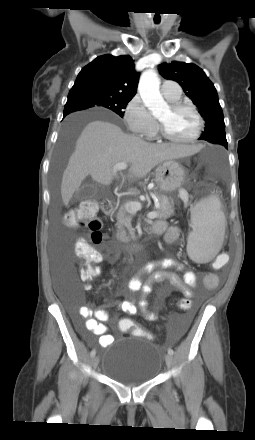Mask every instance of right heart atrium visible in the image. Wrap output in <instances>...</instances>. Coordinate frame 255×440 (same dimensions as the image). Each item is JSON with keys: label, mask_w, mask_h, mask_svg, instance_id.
<instances>
[{"label": "right heart atrium", "mask_w": 255, "mask_h": 440, "mask_svg": "<svg viewBox=\"0 0 255 440\" xmlns=\"http://www.w3.org/2000/svg\"><path fill=\"white\" fill-rule=\"evenodd\" d=\"M124 119L128 129L138 136L151 137L158 131L155 119L139 96H134L127 104Z\"/></svg>", "instance_id": "1"}]
</instances>
